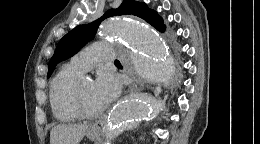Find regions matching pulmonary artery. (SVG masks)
<instances>
[{
  "label": "pulmonary artery",
  "instance_id": "e3ab8cb5",
  "mask_svg": "<svg viewBox=\"0 0 260 144\" xmlns=\"http://www.w3.org/2000/svg\"><path fill=\"white\" fill-rule=\"evenodd\" d=\"M114 59L115 52L110 44L96 43L74 55L71 59V63L85 73L100 62H112Z\"/></svg>",
  "mask_w": 260,
  "mask_h": 144
}]
</instances>
